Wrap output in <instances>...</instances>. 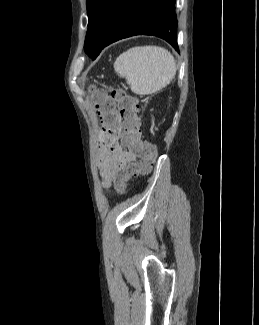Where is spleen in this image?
Segmentation results:
<instances>
[{
    "instance_id": "obj_1",
    "label": "spleen",
    "mask_w": 259,
    "mask_h": 325,
    "mask_svg": "<svg viewBox=\"0 0 259 325\" xmlns=\"http://www.w3.org/2000/svg\"><path fill=\"white\" fill-rule=\"evenodd\" d=\"M114 70L126 79L132 92L148 95L170 83L176 74V61L163 47L138 46L119 55L114 62Z\"/></svg>"
}]
</instances>
